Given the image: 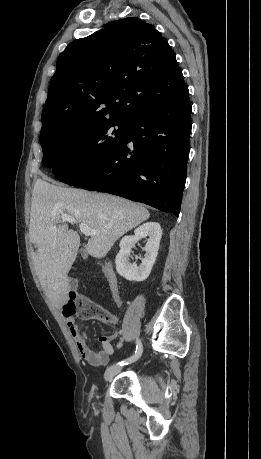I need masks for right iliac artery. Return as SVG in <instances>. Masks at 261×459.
<instances>
[{"label": "right iliac artery", "mask_w": 261, "mask_h": 459, "mask_svg": "<svg viewBox=\"0 0 261 459\" xmlns=\"http://www.w3.org/2000/svg\"><path fill=\"white\" fill-rule=\"evenodd\" d=\"M137 343V346H136V351H135V354L132 355L130 358L128 359H125V360H121L117 363V365H120V366H123V365H126V364H129L131 362H134L136 361L142 354V344H141V341L139 339H137L136 341Z\"/></svg>", "instance_id": "1"}]
</instances>
